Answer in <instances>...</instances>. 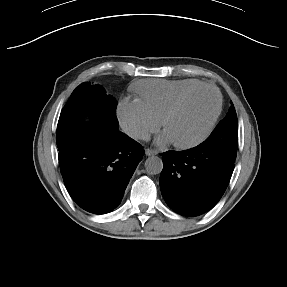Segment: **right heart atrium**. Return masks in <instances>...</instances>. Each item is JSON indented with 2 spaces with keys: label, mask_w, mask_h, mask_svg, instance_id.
I'll return each instance as SVG.
<instances>
[{
  "label": "right heart atrium",
  "mask_w": 287,
  "mask_h": 287,
  "mask_svg": "<svg viewBox=\"0 0 287 287\" xmlns=\"http://www.w3.org/2000/svg\"><path fill=\"white\" fill-rule=\"evenodd\" d=\"M118 117L124 130L140 140L147 139L161 125V121L139 99H122L118 105Z\"/></svg>",
  "instance_id": "d8ad5b80"
}]
</instances>
